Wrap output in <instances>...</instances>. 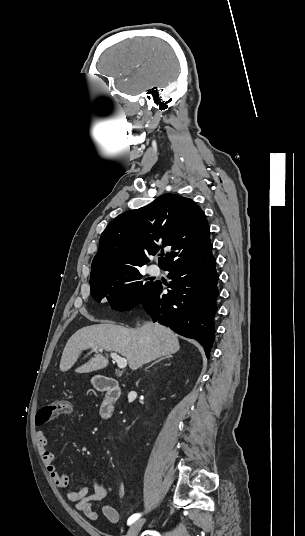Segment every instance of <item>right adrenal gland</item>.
<instances>
[{"label":"right adrenal gland","mask_w":305,"mask_h":536,"mask_svg":"<svg viewBox=\"0 0 305 536\" xmlns=\"http://www.w3.org/2000/svg\"><path fill=\"white\" fill-rule=\"evenodd\" d=\"M166 358H172V356H166ZM166 358H161V360H166ZM161 360H157V362H161ZM157 362H154V364H157ZM153 366V364H152ZM151 368V366H150Z\"/></svg>","instance_id":"obj_1"}]
</instances>
